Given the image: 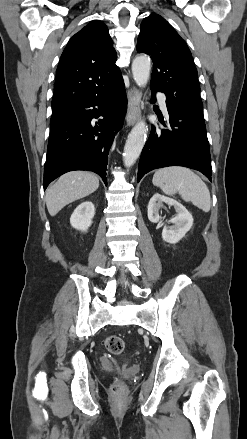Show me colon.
<instances>
[{
  "label": "colon",
  "mask_w": 247,
  "mask_h": 439,
  "mask_svg": "<svg viewBox=\"0 0 247 439\" xmlns=\"http://www.w3.org/2000/svg\"><path fill=\"white\" fill-rule=\"evenodd\" d=\"M104 345L106 349L112 353V354H120L125 349L124 341L116 336V335H110L106 337L104 340ZM112 391L116 394H120L123 391V384L120 381H115L112 385Z\"/></svg>",
  "instance_id": "1"
}]
</instances>
